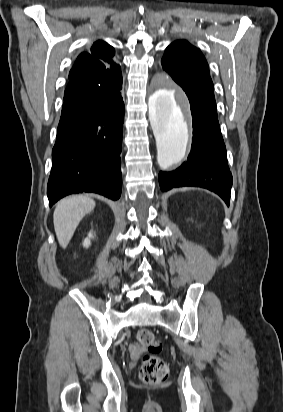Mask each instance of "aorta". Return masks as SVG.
Wrapping results in <instances>:
<instances>
[{"mask_svg":"<svg viewBox=\"0 0 283 412\" xmlns=\"http://www.w3.org/2000/svg\"><path fill=\"white\" fill-rule=\"evenodd\" d=\"M149 119L156 138L157 161L166 169L181 162L189 140V110L185 96L160 84L148 100Z\"/></svg>","mask_w":283,"mask_h":412,"instance_id":"obj_1","label":"aorta"}]
</instances>
